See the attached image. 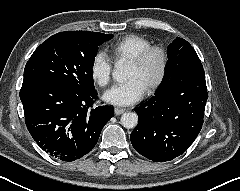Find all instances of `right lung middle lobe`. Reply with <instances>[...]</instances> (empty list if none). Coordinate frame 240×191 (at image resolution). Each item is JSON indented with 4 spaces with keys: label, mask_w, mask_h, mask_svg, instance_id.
<instances>
[{
    "label": "right lung middle lobe",
    "mask_w": 240,
    "mask_h": 191,
    "mask_svg": "<svg viewBox=\"0 0 240 191\" xmlns=\"http://www.w3.org/2000/svg\"><path fill=\"white\" fill-rule=\"evenodd\" d=\"M113 35L77 37L55 34L32 54L24 70L25 82H48L78 93L94 90L92 68L98 46Z\"/></svg>",
    "instance_id": "obj_1"
}]
</instances>
